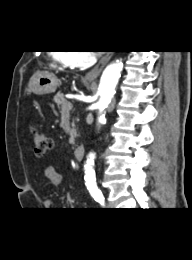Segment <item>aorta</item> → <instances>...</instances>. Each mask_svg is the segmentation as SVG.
<instances>
[{
  "instance_id": "762f6f07",
  "label": "aorta",
  "mask_w": 192,
  "mask_h": 260,
  "mask_svg": "<svg viewBox=\"0 0 192 260\" xmlns=\"http://www.w3.org/2000/svg\"><path fill=\"white\" fill-rule=\"evenodd\" d=\"M122 68V62L117 60L116 62L109 64L102 73L99 84L100 98L97 102V108L99 111L98 122L100 124L105 121V110L115 94V88L121 76ZM94 160L95 154L90 153L85 165V181L86 184L89 185L94 184L96 181L95 171L93 168Z\"/></svg>"
}]
</instances>
